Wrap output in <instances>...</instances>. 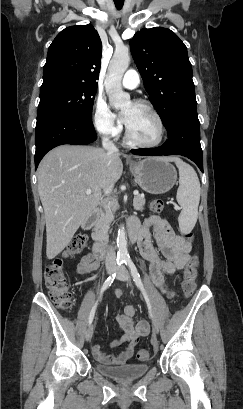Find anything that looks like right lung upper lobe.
<instances>
[{
	"label": "right lung upper lobe",
	"instance_id": "cb5924a9",
	"mask_svg": "<svg viewBox=\"0 0 243 409\" xmlns=\"http://www.w3.org/2000/svg\"><path fill=\"white\" fill-rule=\"evenodd\" d=\"M102 42L91 24L62 30L48 49L43 80L65 79L97 88Z\"/></svg>",
	"mask_w": 243,
	"mask_h": 409
}]
</instances>
